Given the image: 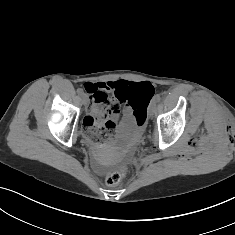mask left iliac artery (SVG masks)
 I'll return each instance as SVG.
<instances>
[{
  "instance_id": "obj_1",
  "label": "left iliac artery",
  "mask_w": 235,
  "mask_h": 235,
  "mask_svg": "<svg viewBox=\"0 0 235 235\" xmlns=\"http://www.w3.org/2000/svg\"><path fill=\"white\" fill-rule=\"evenodd\" d=\"M160 99H161V97H160V95H158V94L154 97V101H155V102H159Z\"/></svg>"
}]
</instances>
